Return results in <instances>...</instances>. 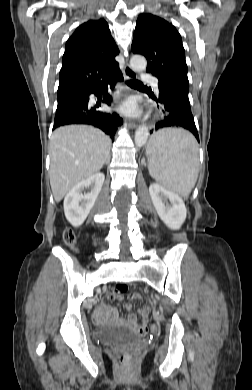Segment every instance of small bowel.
I'll return each instance as SVG.
<instances>
[{
    "label": "small bowel",
    "mask_w": 252,
    "mask_h": 390,
    "mask_svg": "<svg viewBox=\"0 0 252 390\" xmlns=\"http://www.w3.org/2000/svg\"><path fill=\"white\" fill-rule=\"evenodd\" d=\"M123 300L124 296L122 293H118L117 291H111L108 293V299ZM127 314L125 317H120L118 314V310L115 307L107 306L104 304L99 305L93 313V318L97 322H105V323H124L137 334H145L148 329V320H149V308L147 306H143L139 309L138 314L141 318L139 321L137 315L131 311V305H126Z\"/></svg>",
    "instance_id": "obj_1"
}]
</instances>
